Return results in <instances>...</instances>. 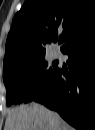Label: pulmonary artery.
<instances>
[{"label": "pulmonary artery", "instance_id": "pulmonary-artery-1", "mask_svg": "<svg viewBox=\"0 0 95 130\" xmlns=\"http://www.w3.org/2000/svg\"><path fill=\"white\" fill-rule=\"evenodd\" d=\"M52 55H53V57H57L59 55V51L56 48H54L52 50Z\"/></svg>", "mask_w": 95, "mask_h": 130}]
</instances>
